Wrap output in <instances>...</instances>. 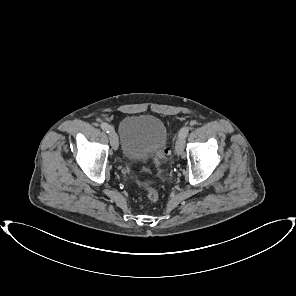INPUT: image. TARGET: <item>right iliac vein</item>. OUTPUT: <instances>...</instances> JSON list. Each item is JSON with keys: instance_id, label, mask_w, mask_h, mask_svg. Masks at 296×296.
<instances>
[{"instance_id": "obj_1", "label": "right iliac vein", "mask_w": 296, "mask_h": 296, "mask_svg": "<svg viewBox=\"0 0 296 296\" xmlns=\"http://www.w3.org/2000/svg\"><path fill=\"white\" fill-rule=\"evenodd\" d=\"M109 138H110V143H111L112 148L114 150H117L118 149V137L113 129H111L109 132Z\"/></svg>"}]
</instances>
